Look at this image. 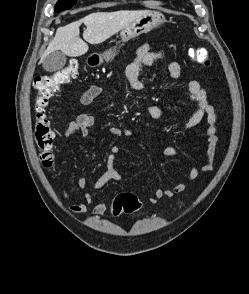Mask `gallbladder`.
Instances as JSON below:
<instances>
[{
    "label": "gallbladder",
    "instance_id": "1",
    "mask_svg": "<svg viewBox=\"0 0 249 294\" xmlns=\"http://www.w3.org/2000/svg\"><path fill=\"white\" fill-rule=\"evenodd\" d=\"M66 64V55L61 51H55L46 56L42 65L47 72H56L61 70Z\"/></svg>",
    "mask_w": 249,
    "mask_h": 294
}]
</instances>
